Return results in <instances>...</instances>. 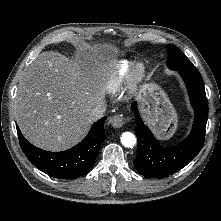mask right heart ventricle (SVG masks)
I'll return each mask as SVG.
<instances>
[{
  "label": "right heart ventricle",
  "mask_w": 221,
  "mask_h": 221,
  "mask_svg": "<svg viewBox=\"0 0 221 221\" xmlns=\"http://www.w3.org/2000/svg\"><path fill=\"white\" fill-rule=\"evenodd\" d=\"M131 64V61L128 60H124L119 64L116 73L108 81L107 87L109 91L114 92L120 87L130 70Z\"/></svg>",
  "instance_id": "e07e8e85"
}]
</instances>
